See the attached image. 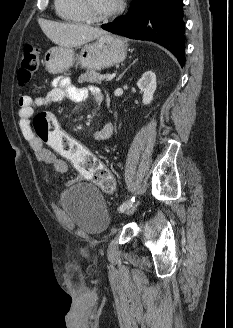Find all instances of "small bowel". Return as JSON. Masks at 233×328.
<instances>
[{
    "mask_svg": "<svg viewBox=\"0 0 233 328\" xmlns=\"http://www.w3.org/2000/svg\"><path fill=\"white\" fill-rule=\"evenodd\" d=\"M91 92L94 99L99 103V99L103 97L99 89L91 87L89 90L77 88L71 84L70 80L65 77L56 78L51 85V89L43 96L32 98L30 96H22L19 99V125L21 132L26 140H28L38 161L50 166L54 174H64L67 169V163L58 158L51 150L47 149L44 143L33 135L30 126L31 118L36 107H49L53 103L70 99L76 102L83 101L87 98L88 92ZM113 132V126L107 122L99 131L94 133L96 140H106ZM47 183H51L50 175L45 176ZM70 183H66L69 185Z\"/></svg>",
    "mask_w": 233,
    "mask_h": 328,
    "instance_id": "obj_1",
    "label": "small bowel"
}]
</instances>
